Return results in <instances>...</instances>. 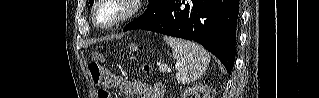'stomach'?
<instances>
[{
  "mask_svg": "<svg viewBox=\"0 0 319 98\" xmlns=\"http://www.w3.org/2000/svg\"><path fill=\"white\" fill-rule=\"evenodd\" d=\"M129 48H130L131 51H137L138 50V46L136 44H134V43H131L129 45Z\"/></svg>",
  "mask_w": 319,
  "mask_h": 98,
  "instance_id": "stomach-1",
  "label": "stomach"
}]
</instances>
